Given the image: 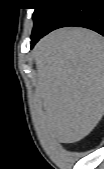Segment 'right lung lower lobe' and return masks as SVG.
<instances>
[{"label": "right lung lower lobe", "mask_w": 104, "mask_h": 169, "mask_svg": "<svg viewBox=\"0 0 104 169\" xmlns=\"http://www.w3.org/2000/svg\"><path fill=\"white\" fill-rule=\"evenodd\" d=\"M66 26H79L104 35V0H59L58 8L31 35V47L47 33Z\"/></svg>", "instance_id": "obj_1"}]
</instances>
